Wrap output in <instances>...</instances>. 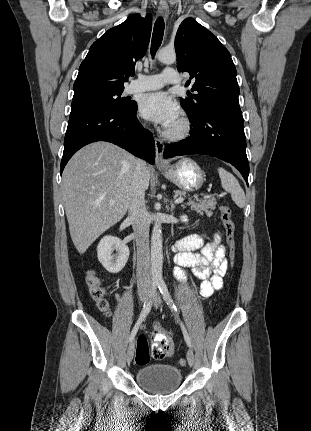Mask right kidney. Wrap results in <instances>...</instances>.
Masks as SVG:
<instances>
[{
	"label": "right kidney",
	"instance_id": "ca27d5eb",
	"mask_svg": "<svg viewBox=\"0 0 311 431\" xmlns=\"http://www.w3.org/2000/svg\"><path fill=\"white\" fill-rule=\"evenodd\" d=\"M113 249H116L117 253H112ZM129 253L128 245L114 235H104L97 245L98 259L110 273H118L123 269Z\"/></svg>",
	"mask_w": 311,
	"mask_h": 431
}]
</instances>
